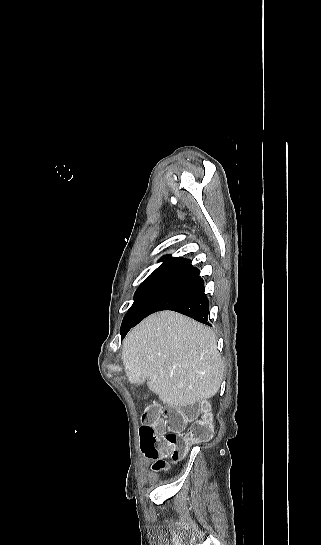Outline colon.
<instances>
[{
	"label": "colon",
	"mask_w": 321,
	"mask_h": 545,
	"mask_svg": "<svg viewBox=\"0 0 321 545\" xmlns=\"http://www.w3.org/2000/svg\"><path fill=\"white\" fill-rule=\"evenodd\" d=\"M141 420L142 451L154 459L159 457L162 445L173 460H180L192 444L209 441L215 433L212 417L204 406L163 408L158 403L149 402ZM188 424L190 426L185 430ZM157 468L165 470L167 464L163 461L157 464Z\"/></svg>",
	"instance_id": "1"
}]
</instances>
